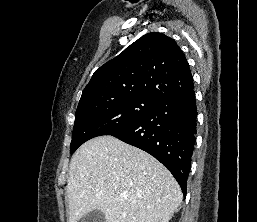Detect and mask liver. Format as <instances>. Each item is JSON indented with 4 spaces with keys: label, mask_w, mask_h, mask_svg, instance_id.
I'll return each mask as SVG.
<instances>
[{
    "label": "liver",
    "mask_w": 257,
    "mask_h": 222,
    "mask_svg": "<svg viewBox=\"0 0 257 222\" xmlns=\"http://www.w3.org/2000/svg\"><path fill=\"white\" fill-rule=\"evenodd\" d=\"M67 194L69 222L94 210L106 222H168L182 202L180 186L159 161L110 135L74 153Z\"/></svg>",
    "instance_id": "obj_1"
}]
</instances>
